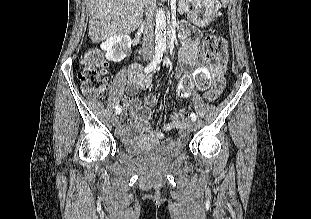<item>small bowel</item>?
I'll return each instance as SVG.
<instances>
[{
    "instance_id": "1",
    "label": "small bowel",
    "mask_w": 311,
    "mask_h": 219,
    "mask_svg": "<svg viewBox=\"0 0 311 219\" xmlns=\"http://www.w3.org/2000/svg\"><path fill=\"white\" fill-rule=\"evenodd\" d=\"M181 48L179 52V66L177 67V77H181L188 67L194 66L197 63V41L190 36L187 32L181 34ZM130 82L127 86L128 98L125 100V106L129 113L122 117L119 134L123 139L140 136L144 140L155 142L164 139L165 132L176 130L178 138L176 142L181 143L187 138V125L185 120V110L179 109L170 113L167 119L161 124L160 129H152L150 127L151 108L156 106L158 98L155 95L148 94L144 97L141 103L137 94L140 90H145L151 83V76L143 74L138 65H134L129 69ZM190 75L183 76L184 83L188 82ZM189 86V85H188ZM224 87L223 73L217 70L213 71L212 84L205 92V97L208 100L216 99L222 92ZM180 95H186L181 94Z\"/></svg>"
}]
</instances>
